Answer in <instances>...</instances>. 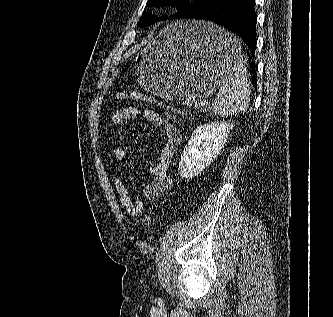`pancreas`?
Returning a JSON list of instances; mask_svg holds the SVG:
<instances>
[{"label": "pancreas", "instance_id": "obj_1", "mask_svg": "<svg viewBox=\"0 0 333 317\" xmlns=\"http://www.w3.org/2000/svg\"><path fill=\"white\" fill-rule=\"evenodd\" d=\"M198 107H199L200 110H206L209 107V105L208 104L203 105V104L199 103Z\"/></svg>", "mask_w": 333, "mask_h": 317}]
</instances>
